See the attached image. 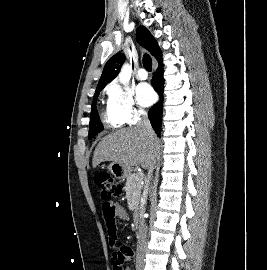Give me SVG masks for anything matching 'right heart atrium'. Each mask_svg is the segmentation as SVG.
I'll list each match as a JSON object with an SVG mask.
<instances>
[{"label":"right heart atrium","mask_w":267,"mask_h":270,"mask_svg":"<svg viewBox=\"0 0 267 270\" xmlns=\"http://www.w3.org/2000/svg\"><path fill=\"white\" fill-rule=\"evenodd\" d=\"M106 94L110 112L123 124H135L144 117L145 111L136 104L129 87L113 81L106 87Z\"/></svg>","instance_id":"right-heart-atrium-1"}]
</instances>
